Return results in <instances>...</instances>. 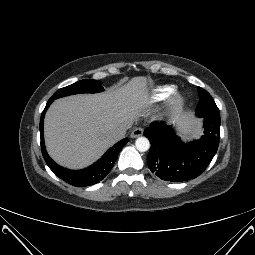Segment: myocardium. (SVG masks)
I'll use <instances>...</instances> for the list:
<instances>
[{"mask_svg": "<svg viewBox=\"0 0 255 255\" xmlns=\"http://www.w3.org/2000/svg\"><path fill=\"white\" fill-rule=\"evenodd\" d=\"M184 103V97L180 94H175L170 98L168 108L170 111H178L184 106Z\"/></svg>", "mask_w": 255, "mask_h": 255, "instance_id": "myocardium-1", "label": "myocardium"}]
</instances>
